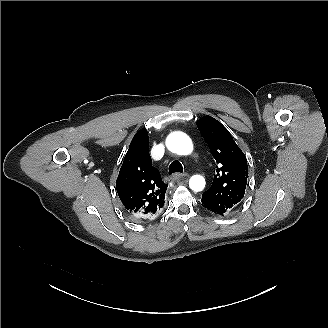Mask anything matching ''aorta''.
<instances>
[{"instance_id":"aorta-1","label":"aorta","mask_w":328,"mask_h":328,"mask_svg":"<svg viewBox=\"0 0 328 328\" xmlns=\"http://www.w3.org/2000/svg\"><path fill=\"white\" fill-rule=\"evenodd\" d=\"M167 148L178 155H189L193 151L190 137L180 131L169 134L166 139ZM205 179L201 175H193L189 180V187L195 191H202L205 187Z\"/></svg>"}]
</instances>
